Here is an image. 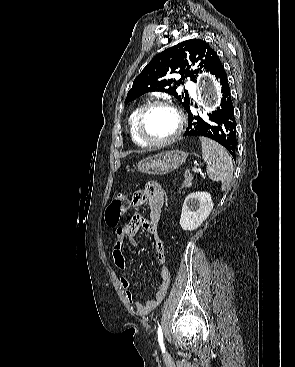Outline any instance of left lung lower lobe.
<instances>
[{"mask_svg": "<svg viewBox=\"0 0 295 367\" xmlns=\"http://www.w3.org/2000/svg\"><path fill=\"white\" fill-rule=\"evenodd\" d=\"M212 74L216 76L221 85V103L212 114H209V120L193 114L189 106L186 110L188 126L184 136H203L213 139L224 146L234 158L237 146L236 122L227 75L220 60L215 65Z\"/></svg>", "mask_w": 295, "mask_h": 367, "instance_id": "obj_1", "label": "left lung lower lobe"}]
</instances>
